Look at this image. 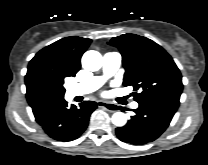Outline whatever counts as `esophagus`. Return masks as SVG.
Listing matches in <instances>:
<instances>
[{
    "label": "esophagus",
    "instance_id": "obj_1",
    "mask_svg": "<svg viewBox=\"0 0 208 165\" xmlns=\"http://www.w3.org/2000/svg\"><path fill=\"white\" fill-rule=\"evenodd\" d=\"M97 104L99 107L104 108L110 112H115L118 109V107L115 104L110 102L98 101Z\"/></svg>",
    "mask_w": 208,
    "mask_h": 165
}]
</instances>
